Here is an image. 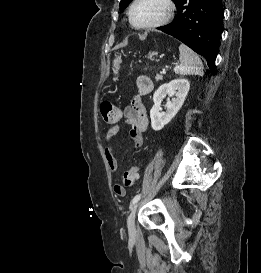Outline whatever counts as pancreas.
Returning <instances> with one entry per match:
<instances>
[{"mask_svg": "<svg viewBox=\"0 0 261 273\" xmlns=\"http://www.w3.org/2000/svg\"><path fill=\"white\" fill-rule=\"evenodd\" d=\"M162 79H163V75L162 74H156V76H155V80L156 81H160Z\"/></svg>", "mask_w": 261, "mask_h": 273, "instance_id": "1", "label": "pancreas"}]
</instances>
